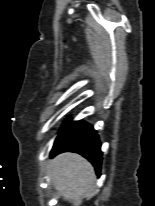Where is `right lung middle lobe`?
I'll return each instance as SVG.
<instances>
[{
  "label": "right lung middle lobe",
  "instance_id": "1",
  "mask_svg": "<svg viewBox=\"0 0 155 206\" xmlns=\"http://www.w3.org/2000/svg\"><path fill=\"white\" fill-rule=\"evenodd\" d=\"M71 123H72L71 121L66 122L63 128L67 127V126L70 125Z\"/></svg>",
  "mask_w": 155,
  "mask_h": 206
}]
</instances>
